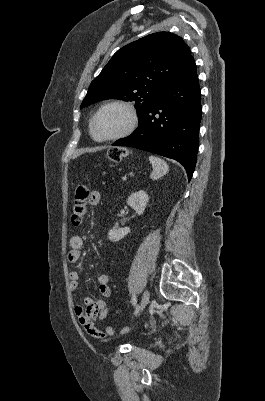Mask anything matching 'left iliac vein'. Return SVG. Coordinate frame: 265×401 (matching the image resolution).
<instances>
[{
  "label": "left iliac vein",
  "instance_id": "obj_1",
  "mask_svg": "<svg viewBox=\"0 0 265 401\" xmlns=\"http://www.w3.org/2000/svg\"><path fill=\"white\" fill-rule=\"evenodd\" d=\"M149 300H150V292H149L148 290H146V291L143 293L140 306H139L138 309H137V315H138V316H139L140 313L144 310V308L146 307V305L149 303Z\"/></svg>",
  "mask_w": 265,
  "mask_h": 401
}]
</instances>
